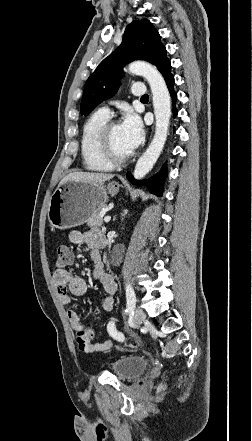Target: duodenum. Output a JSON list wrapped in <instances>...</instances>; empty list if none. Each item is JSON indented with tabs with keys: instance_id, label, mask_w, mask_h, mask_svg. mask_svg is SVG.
Listing matches in <instances>:
<instances>
[{
	"instance_id": "obj_1",
	"label": "duodenum",
	"mask_w": 252,
	"mask_h": 441,
	"mask_svg": "<svg viewBox=\"0 0 252 441\" xmlns=\"http://www.w3.org/2000/svg\"><path fill=\"white\" fill-rule=\"evenodd\" d=\"M102 243H103V245H105V244H106V240H105V239H103Z\"/></svg>"
}]
</instances>
